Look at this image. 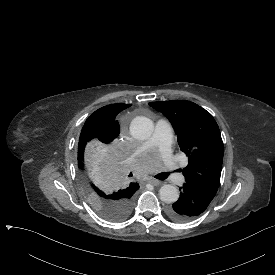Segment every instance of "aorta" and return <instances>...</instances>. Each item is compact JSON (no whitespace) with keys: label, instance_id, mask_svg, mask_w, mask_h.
Segmentation results:
<instances>
[{"label":"aorta","instance_id":"762f6f07","mask_svg":"<svg viewBox=\"0 0 275 275\" xmlns=\"http://www.w3.org/2000/svg\"><path fill=\"white\" fill-rule=\"evenodd\" d=\"M153 122L145 116H137L130 123L131 135L137 140H146L153 133ZM160 199L164 203H174L179 199L176 187L170 184L163 185L160 189Z\"/></svg>","mask_w":275,"mask_h":275}]
</instances>
